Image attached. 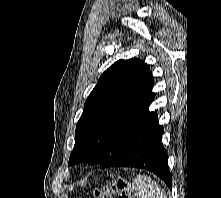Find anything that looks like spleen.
<instances>
[{
	"label": "spleen",
	"mask_w": 221,
	"mask_h": 198,
	"mask_svg": "<svg viewBox=\"0 0 221 198\" xmlns=\"http://www.w3.org/2000/svg\"><path fill=\"white\" fill-rule=\"evenodd\" d=\"M132 190L137 198H167L158 183L145 175L133 180Z\"/></svg>",
	"instance_id": "1"
}]
</instances>
